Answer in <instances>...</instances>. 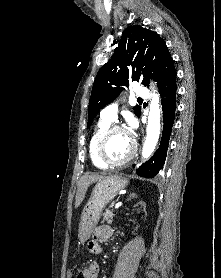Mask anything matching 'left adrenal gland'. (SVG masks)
<instances>
[{"mask_svg":"<svg viewBox=\"0 0 221 278\" xmlns=\"http://www.w3.org/2000/svg\"><path fill=\"white\" fill-rule=\"evenodd\" d=\"M136 197H137V195H136V194H134V193H130L128 200H130L131 198H136Z\"/></svg>","mask_w":221,"mask_h":278,"instance_id":"left-adrenal-gland-1","label":"left adrenal gland"}]
</instances>
